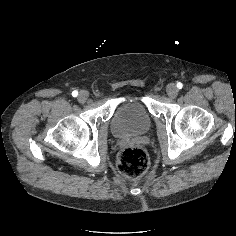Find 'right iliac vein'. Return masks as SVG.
<instances>
[{
  "label": "right iliac vein",
  "instance_id": "right-iliac-vein-1",
  "mask_svg": "<svg viewBox=\"0 0 236 236\" xmlns=\"http://www.w3.org/2000/svg\"><path fill=\"white\" fill-rule=\"evenodd\" d=\"M89 98V92L86 90H82L80 91L79 95H78V101L80 103H85Z\"/></svg>",
  "mask_w": 236,
  "mask_h": 236
}]
</instances>
